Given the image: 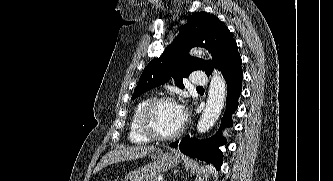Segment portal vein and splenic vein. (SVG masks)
<instances>
[{"mask_svg": "<svg viewBox=\"0 0 333 181\" xmlns=\"http://www.w3.org/2000/svg\"><path fill=\"white\" fill-rule=\"evenodd\" d=\"M159 181H163V179H162V178H159Z\"/></svg>", "mask_w": 333, "mask_h": 181, "instance_id": "18ae733b", "label": "portal vein and splenic vein"}]
</instances>
